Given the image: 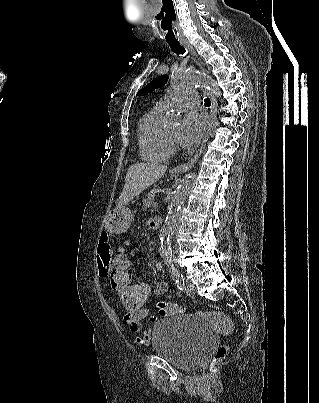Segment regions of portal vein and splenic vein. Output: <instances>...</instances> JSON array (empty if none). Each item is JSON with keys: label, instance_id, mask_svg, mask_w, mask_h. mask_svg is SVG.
I'll return each instance as SVG.
<instances>
[{"label": "portal vein and splenic vein", "instance_id": "18ae733b", "mask_svg": "<svg viewBox=\"0 0 319 403\" xmlns=\"http://www.w3.org/2000/svg\"><path fill=\"white\" fill-rule=\"evenodd\" d=\"M158 205H159L158 202H154V203H153V207H154V208L158 207Z\"/></svg>", "mask_w": 319, "mask_h": 403}]
</instances>
